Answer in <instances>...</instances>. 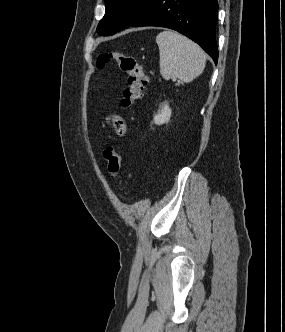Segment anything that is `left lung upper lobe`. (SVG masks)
I'll list each match as a JSON object with an SVG mask.
<instances>
[{"instance_id":"5c2ea615","label":"left lung upper lobe","mask_w":285,"mask_h":332,"mask_svg":"<svg viewBox=\"0 0 285 332\" xmlns=\"http://www.w3.org/2000/svg\"><path fill=\"white\" fill-rule=\"evenodd\" d=\"M154 0H105V15L97 32L110 36L130 26Z\"/></svg>"}]
</instances>
